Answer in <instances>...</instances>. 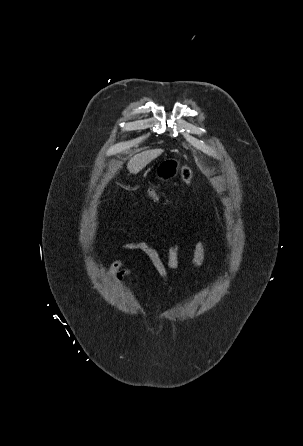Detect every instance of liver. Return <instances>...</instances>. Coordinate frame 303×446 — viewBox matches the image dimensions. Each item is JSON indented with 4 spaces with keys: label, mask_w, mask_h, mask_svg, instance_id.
Masks as SVG:
<instances>
[{
    "label": "liver",
    "mask_w": 303,
    "mask_h": 446,
    "mask_svg": "<svg viewBox=\"0 0 303 446\" xmlns=\"http://www.w3.org/2000/svg\"><path fill=\"white\" fill-rule=\"evenodd\" d=\"M163 151L159 149L147 150L138 153L130 158L127 163V169L130 173H139L148 163L159 156Z\"/></svg>",
    "instance_id": "6515ba94"
}]
</instances>
